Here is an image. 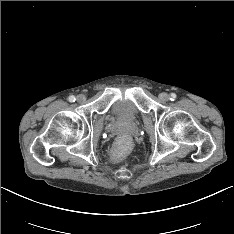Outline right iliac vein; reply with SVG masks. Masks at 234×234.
Wrapping results in <instances>:
<instances>
[{
	"instance_id": "obj_1",
	"label": "right iliac vein",
	"mask_w": 234,
	"mask_h": 234,
	"mask_svg": "<svg viewBox=\"0 0 234 234\" xmlns=\"http://www.w3.org/2000/svg\"><path fill=\"white\" fill-rule=\"evenodd\" d=\"M85 100H86L85 95L80 94V95L77 96V101H78L79 103H82V102H84Z\"/></svg>"
}]
</instances>
